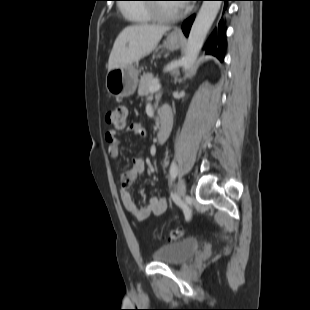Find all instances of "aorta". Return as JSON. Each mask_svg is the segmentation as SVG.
I'll use <instances>...</instances> for the list:
<instances>
[{
  "mask_svg": "<svg viewBox=\"0 0 310 310\" xmlns=\"http://www.w3.org/2000/svg\"><path fill=\"white\" fill-rule=\"evenodd\" d=\"M221 1H204L189 33L183 58V68L189 69L196 61L203 41L221 6Z\"/></svg>",
  "mask_w": 310,
  "mask_h": 310,
  "instance_id": "obj_1",
  "label": "aorta"
}]
</instances>
